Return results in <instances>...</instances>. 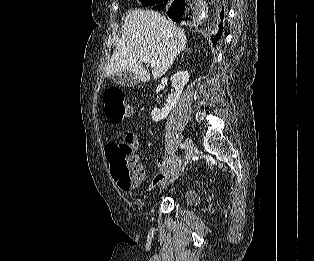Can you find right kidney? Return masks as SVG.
Here are the masks:
<instances>
[{
	"instance_id": "1",
	"label": "right kidney",
	"mask_w": 314,
	"mask_h": 261,
	"mask_svg": "<svg viewBox=\"0 0 314 261\" xmlns=\"http://www.w3.org/2000/svg\"><path fill=\"white\" fill-rule=\"evenodd\" d=\"M189 73L187 71H179L172 77V86L174 87V92L168 95L166 105L164 109L154 108L151 112L152 119L155 122L165 119L169 112L176 106L180 99L184 86L189 81Z\"/></svg>"
}]
</instances>
